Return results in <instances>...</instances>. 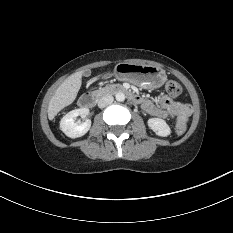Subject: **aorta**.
Instances as JSON below:
<instances>
[{
  "mask_svg": "<svg viewBox=\"0 0 233 233\" xmlns=\"http://www.w3.org/2000/svg\"><path fill=\"white\" fill-rule=\"evenodd\" d=\"M115 99L118 101V102H123L125 100V94L122 93V92H118L116 95H115Z\"/></svg>",
  "mask_w": 233,
  "mask_h": 233,
  "instance_id": "762f6f07",
  "label": "aorta"
}]
</instances>
